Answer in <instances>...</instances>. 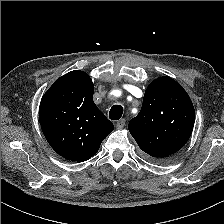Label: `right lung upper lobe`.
<instances>
[{"instance_id": "right-lung-upper-lobe-1", "label": "right lung upper lobe", "mask_w": 224, "mask_h": 224, "mask_svg": "<svg viewBox=\"0 0 224 224\" xmlns=\"http://www.w3.org/2000/svg\"><path fill=\"white\" fill-rule=\"evenodd\" d=\"M93 93L91 78L74 70L57 79L41 99L39 120L45 138L68 160L90 159L114 129L93 102Z\"/></svg>"}]
</instances>
